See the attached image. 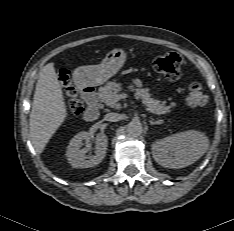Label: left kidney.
<instances>
[{"instance_id":"left-kidney-1","label":"left kidney","mask_w":234,"mask_h":231,"mask_svg":"<svg viewBox=\"0 0 234 231\" xmlns=\"http://www.w3.org/2000/svg\"><path fill=\"white\" fill-rule=\"evenodd\" d=\"M208 147L209 140L204 133L189 130L156 141L152 153L161 166L179 169L197 161Z\"/></svg>"}]
</instances>
